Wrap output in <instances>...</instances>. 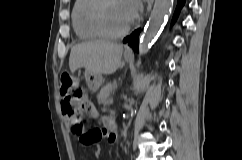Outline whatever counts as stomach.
<instances>
[{
    "instance_id": "obj_1",
    "label": "stomach",
    "mask_w": 242,
    "mask_h": 160,
    "mask_svg": "<svg viewBox=\"0 0 242 160\" xmlns=\"http://www.w3.org/2000/svg\"><path fill=\"white\" fill-rule=\"evenodd\" d=\"M124 58L126 61L131 60V57L128 56L127 54L124 55ZM102 80H103V78H102V75H100V74H96V73H92V72L85 73L86 84L88 86V89L93 93L98 91V89L102 85Z\"/></svg>"
}]
</instances>
